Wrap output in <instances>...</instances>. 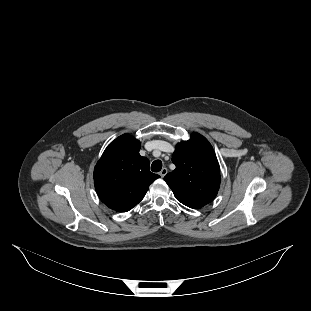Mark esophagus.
Returning <instances> with one entry per match:
<instances>
[{"instance_id": "esophagus-1", "label": "esophagus", "mask_w": 311, "mask_h": 311, "mask_svg": "<svg viewBox=\"0 0 311 311\" xmlns=\"http://www.w3.org/2000/svg\"><path fill=\"white\" fill-rule=\"evenodd\" d=\"M168 170L167 168H162L161 171L159 172V175L161 177H164L167 174Z\"/></svg>"}]
</instances>
